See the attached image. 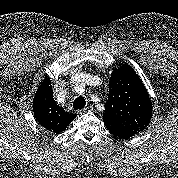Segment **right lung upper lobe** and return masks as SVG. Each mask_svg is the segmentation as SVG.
Instances as JSON below:
<instances>
[{
	"mask_svg": "<svg viewBox=\"0 0 178 178\" xmlns=\"http://www.w3.org/2000/svg\"><path fill=\"white\" fill-rule=\"evenodd\" d=\"M33 112L37 122L53 133L64 131L76 117L65 112L53 99V90L49 77L40 83L33 99Z\"/></svg>",
	"mask_w": 178,
	"mask_h": 178,
	"instance_id": "1",
	"label": "right lung upper lobe"
}]
</instances>
